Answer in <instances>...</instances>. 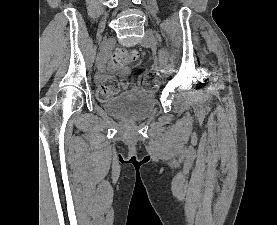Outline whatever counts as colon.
Segmentation results:
<instances>
[{"mask_svg": "<svg viewBox=\"0 0 277 225\" xmlns=\"http://www.w3.org/2000/svg\"><path fill=\"white\" fill-rule=\"evenodd\" d=\"M139 57L136 50L119 49L112 58V65L114 67H125L135 62ZM159 73L155 70H146L140 74L139 84L147 91H155L159 86ZM125 84L116 79H109L102 83L98 88V97L100 99H108L119 93Z\"/></svg>", "mask_w": 277, "mask_h": 225, "instance_id": "1", "label": "colon"}]
</instances>
